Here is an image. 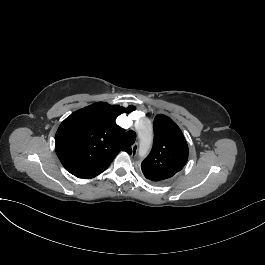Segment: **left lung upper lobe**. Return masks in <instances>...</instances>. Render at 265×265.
Returning <instances> with one entry per match:
<instances>
[{"label":"left lung upper lobe","mask_w":265,"mask_h":265,"mask_svg":"<svg viewBox=\"0 0 265 265\" xmlns=\"http://www.w3.org/2000/svg\"><path fill=\"white\" fill-rule=\"evenodd\" d=\"M187 160L188 146L180 128L169 117L158 114L152 151L141 164L144 176L162 184L182 170Z\"/></svg>","instance_id":"obj_1"}]
</instances>
